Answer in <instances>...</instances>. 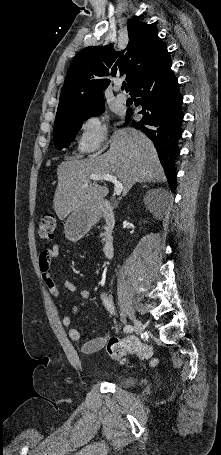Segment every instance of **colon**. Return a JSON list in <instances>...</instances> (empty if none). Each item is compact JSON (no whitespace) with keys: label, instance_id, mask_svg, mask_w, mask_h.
Returning <instances> with one entry per match:
<instances>
[{"label":"colon","instance_id":"colon-1","mask_svg":"<svg viewBox=\"0 0 221 455\" xmlns=\"http://www.w3.org/2000/svg\"><path fill=\"white\" fill-rule=\"evenodd\" d=\"M56 229V216L53 213L44 214L38 223V235L40 238L44 240H51L56 234ZM107 351L112 358L123 362L130 354H135L144 360H151V364L153 366H155L158 362L157 359L153 358L151 347L140 342L135 337H112L107 343Z\"/></svg>","mask_w":221,"mask_h":455}]
</instances>
